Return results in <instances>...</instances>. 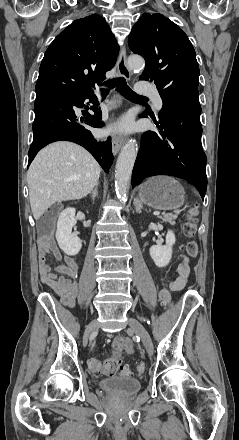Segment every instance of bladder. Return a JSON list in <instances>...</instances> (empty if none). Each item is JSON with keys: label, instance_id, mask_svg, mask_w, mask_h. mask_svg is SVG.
<instances>
[{"label": "bladder", "instance_id": "bladder-1", "mask_svg": "<svg viewBox=\"0 0 239 440\" xmlns=\"http://www.w3.org/2000/svg\"><path fill=\"white\" fill-rule=\"evenodd\" d=\"M98 386L105 392L130 396L137 393L141 389L142 384L136 378L115 376L100 380Z\"/></svg>", "mask_w": 239, "mask_h": 440}]
</instances>
